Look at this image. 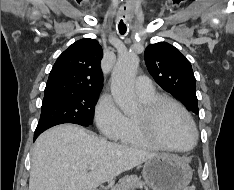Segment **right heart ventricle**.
<instances>
[{
  "instance_id": "1",
  "label": "right heart ventricle",
  "mask_w": 234,
  "mask_h": 190,
  "mask_svg": "<svg viewBox=\"0 0 234 190\" xmlns=\"http://www.w3.org/2000/svg\"><path fill=\"white\" fill-rule=\"evenodd\" d=\"M157 97L158 96L155 93L146 97L140 96L144 105ZM117 139L120 143L131 147L145 149H154L157 147L143 134L136 117L131 116L126 117L125 126Z\"/></svg>"
}]
</instances>
